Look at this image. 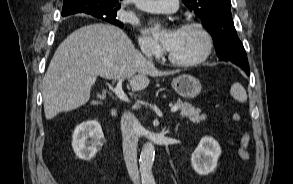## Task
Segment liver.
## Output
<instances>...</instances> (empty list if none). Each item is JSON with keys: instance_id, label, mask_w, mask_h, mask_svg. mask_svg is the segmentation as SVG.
<instances>
[{"instance_id": "6515ba94", "label": "liver", "mask_w": 293, "mask_h": 184, "mask_svg": "<svg viewBox=\"0 0 293 184\" xmlns=\"http://www.w3.org/2000/svg\"><path fill=\"white\" fill-rule=\"evenodd\" d=\"M177 72L155 68L116 26L95 23L81 27L59 45L43 78L45 117L50 120L87 103L97 76L126 78L132 91H140L149 85L148 76Z\"/></svg>"}]
</instances>
